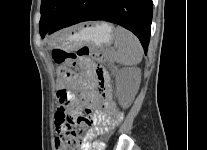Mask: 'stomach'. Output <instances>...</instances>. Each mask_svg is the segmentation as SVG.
Listing matches in <instances>:
<instances>
[{
  "mask_svg": "<svg viewBox=\"0 0 207 150\" xmlns=\"http://www.w3.org/2000/svg\"><path fill=\"white\" fill-rule=\"evenodd\" d=\"M113 25L106 22H93L78 28L62 32L50 39L53 47L66 51H73L81 45H92L96 48L104 47L113 39Z\"/></svg>",
  "mask_w": 207,
  "mask_h": 150,
  "instance_id": "0dacf381",
  "label": "stomach"
}]
</instances>
